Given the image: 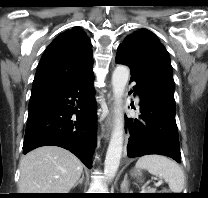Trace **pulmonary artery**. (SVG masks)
Returning <instances> with one entry per match:
<instances>
[{"label":"pulmonary artery","mask_w":208,"mask_h":198,"mask_svg":"<svg viewBox=\"0 0 208 198\" xmlns=\"http://www.w3.org/2000/svg\"><path fill=\"white\" fill-rule=\"evenodd\" d=\"M135 100H136L137 103H139V100L140 99H139V96L138 95L136 96Z\"/></svg>","instance_id":"obj_1"}]
</instances>
